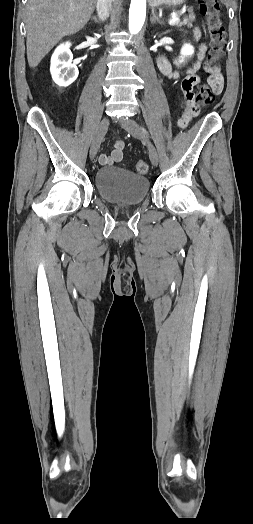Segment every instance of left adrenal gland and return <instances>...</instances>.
Listing matches in <instances>:
<instances>
[{"label":"left adrenal gland","instance_id":"obj_1","mask_svg":"<svg viewBox=\"0 0 253 524\" xmlns=\"http://www.w3.org/2000/svg\"><path fill=\"white\" fill-rule=\"evenodd\" d=\"M150 22H151L152 24H154V23H156V22H158V23H160V24H163V22L159 19V17L157 16V14L155 13L154 10H152V15H151V17H150Z\"/></svg>","mask_w":253,"mask_h":524}]
</instances>
